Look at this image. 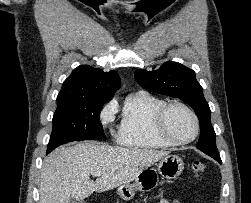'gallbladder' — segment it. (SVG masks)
Here are the masks:
<instances>
[{
	"mask_svg": "<svg viewBox=\"0 0 251 203\" xmlns=\"http://www.w3.org/2000/svg\"><path fill=\"white\" fill-rule=\"evenodd\" d=\"M69 203H84L83 200L71 198Z\"/></svg>",
	"mask_w": 251,
	"mask_h": 203,
	"instance_id": "1",
	"label": "gallbladder"
}]
</instances>
